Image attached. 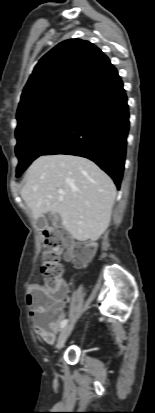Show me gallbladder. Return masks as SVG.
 <instances>
[{
    "label": "gallbladder",
    "mask_w": 155,
    "mask_h": 413,
    "mask_svg": "<svg viewBox=\"0 0 155 413\" xmlns=\"http://www.w3.org/2000/svg\"><path fill=\"white\" fill-rule=\"evenodd\" d=\"M60 223H61L60 218H56V220H55V222H54V226H59ZM38 226H39L40 228H46V227H48V224H47L43 219H39V220H38Z\"/></svg>",
    "instance_id": "gallbladder-1"
}]
</instances>
